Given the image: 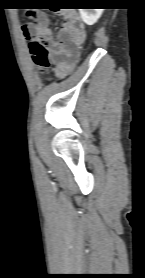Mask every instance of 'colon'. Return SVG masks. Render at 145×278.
<instances>
[{"label": "colon", "instance_id": "1", "mask_svg": "<svg viewBox=\"0 0 145 278\" xmlns=\"http://www.w3.org/2000/svg\"><path fill=\"white\" fill-rule=\"evenodd\" d=\"M32 57L41 72H46L50 67L49 53L46 46L38 39L28 37Z\"/></svg>", "mask_w": 145, "mask_h": 278}]
</instances>
